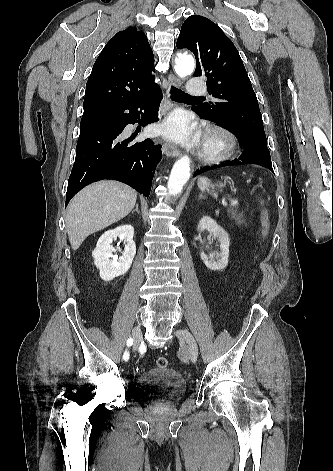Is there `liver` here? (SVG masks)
I'll return each mask as SVG.
<instances>
[{
	"instance_id": "1",
	"label": "liver",
	"mask_w": 333,
	"mask_h": 471,
	"mask_svg": "<svg viewBox=\"0 0 333 471\" xmlns=\"http://www.w3.org/2000/svg\"><path fill=\"white\" fill-rule=\"evenodd\" d=\"M137 192L126 184L104 180L88 185L74 196L66 214L72 249L77 250L94 232L126 217L134 208Z\"/></svg>"
}]
</instances>
